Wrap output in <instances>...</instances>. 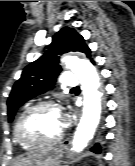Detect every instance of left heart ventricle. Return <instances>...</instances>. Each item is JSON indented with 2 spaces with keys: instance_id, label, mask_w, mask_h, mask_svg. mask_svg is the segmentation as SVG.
Here are the masks:
<instances>
[{
  "instance_id": "obj_1",
  "label": "left heart ventricle",
  "mask_w": 135,
  "mask_h": 166,
  "mask_svg": "<svg viewBox=\"0 0 135 166\" xmlns=\"http://www.w3.org/2000/svg\"><path fill=\"white\" fill-rule=\"evenodd\" d=\"M61 117V113L54 109L35 111L29 114L22 122L21 133L30 140H52L63 130Z\"/></svg>"
}]
</instances>
